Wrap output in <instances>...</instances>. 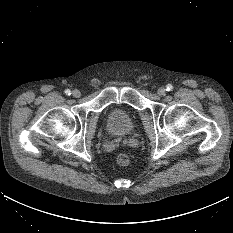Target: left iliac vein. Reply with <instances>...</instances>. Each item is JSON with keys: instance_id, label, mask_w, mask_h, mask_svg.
Here are the masks:
<instances>
[{"instance_id": "left-iliac-vein-1", "label": "left iliac vein", "mask_w": 233, "mask_h": 233, "mask_svg": "<svg viewBox=\"0 0 233 233\" xmlns=\"http://www.w3.org/2000/svg\"><path fill=\"white\" fill-rule=\"evenodd\" d=\"M158 95L163 96L166 93V89L164 87H160L157 90Z\"/></svg>"}]
</instances>
